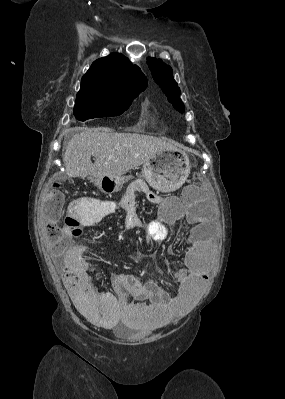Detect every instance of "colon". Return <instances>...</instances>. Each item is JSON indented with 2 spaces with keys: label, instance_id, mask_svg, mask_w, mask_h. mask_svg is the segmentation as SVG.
Instances as JSON below:
<instances>
[{
  "label": "colon",
  "instance_id": "1",
  "mask_svg": "<svg viewBox=\"0 0 285 399\" xmlns=\"http://www.w3.org/2000/svg\"><path fill=\"white\" fill-rule=\"evenodd\" d=\"M202 187H204V179L199 176L191 189L186 192V196L193 197ZM63 207L64 192L55 184L45 193L40 207L47 239L55 248H58L63 242H66L62 229L58 225V221L62 216ZM88 305L95 306V303L90 301Z\"/></svg>",
  "mask_w": 285,
  "mask_h": 399
}]
</instances>
